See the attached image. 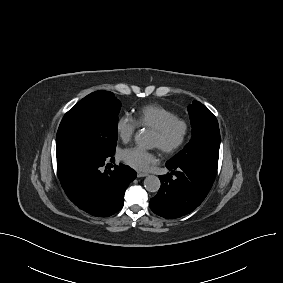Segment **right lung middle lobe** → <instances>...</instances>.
Returning a JSON list of instances; mask_svg holds the SVG:
<instances>
[{
  "instance_id": "obj_1",
  "label": "right lung middle lobe",
  "mask_w": 283,
  "mask_h": 283,
  "mask_svg": "<svg viewBox=\"0 0 283 283\" xmlns=\"http://www.w3.org/2000/svg\"><path fill=\"white\" fill-rule=\"evenodd\" d=\"M120 108V101L109 91L100 90L84 97L64 115L59 125L56 155L72 149L113 155Z\"/></svg>"
}]
</instances>
